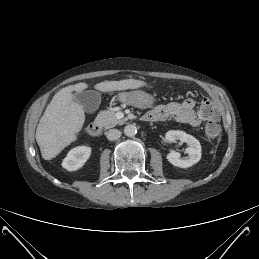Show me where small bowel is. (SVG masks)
I'll list each match as a JSON object with an SVG mask.
<instances>
[{"instance_id":"1","label":"small bowel","mask_w":259,"mask_h":259,"mask_svg":"<svg viewBox=\"0 0 259 259\" xmlns=\"http://www.w3.org/2000/svg\"><path fill=\"white\" fill-rule=\"evenodd\" d=\"M151 117L150 122L164 121L169 118L175 119L177 122L197 127L202 121L209 119L207 115L200 110H195L194 100L188 98L182 102H170L158 105L150 112L146 113ZM218 118V115H217Z\"/></svg>"}]
</instances>
